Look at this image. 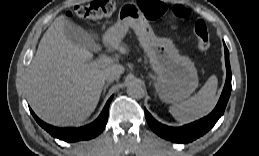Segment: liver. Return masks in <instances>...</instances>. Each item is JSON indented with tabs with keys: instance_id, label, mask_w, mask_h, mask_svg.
Returning a JSON list of instances; mask_svg holds the SVG:
<instances>
[{
	"instance_id": "6515ba94",
	"label": "liver",
	"mask_w": 259,
	"mask_h": 156,
	"mask_svg": "<svg viewBox=\"0 0 259 156\" xmlns=\"http://www.w3.org/2000/svg\"><path fill=\"white\" fill-rule=\"evenodd\" d=\"M66 22L65 16L61 15L44 33L26 77L31 108L39 118L54 126H74L84 122L99 102L106 73L124 72L120 64L102 69L90 66L92 53L66 38ZM103 39L120 53H128L127 47L110 32Z\"/></svg>"
}]
</instances>
